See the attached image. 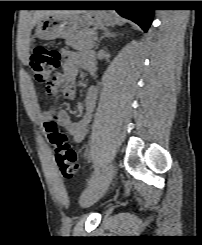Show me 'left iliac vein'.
Wrapping results in <instances>:
<instances>
[{
    "label": "left iliac vein",
    "instance_id": "obj_1",
    "mask_svg": "<svg viewBox=\"0 0 202 245\" xmlns=\"http://www.w3.org/2000/svg\"><path fill=\"white\" fill-rule=\"evenodd\" d=\"M114 175V165L107 166L99 176L95 186L84 196H81L80 203L88 207L96 203L108 190Z\"/></svg>",
    "mask_w": 202,
    "mask_h": 245
}]
</instances>
